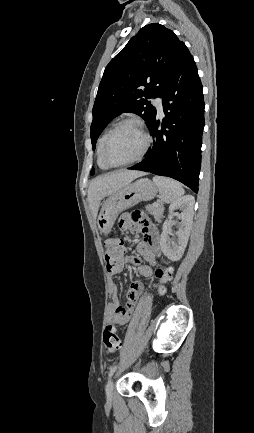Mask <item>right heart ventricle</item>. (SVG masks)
Here are the masks:
<instances>
[{
  "mask_svg": "<svg viewBox=\"0 0 254 433\" xmlns=\"http://www.w3.org/2000/svg\"><path fill=\"white\" fill-rule=\"evenodd\" d=\"M108 132H109V131L105 132V133L102 135V137L99 139V141H98V145H97V163H98L99 167H100L102 170H108V169L110 168V167H108L106 164H104L103 161H102L101 158H100V149H101V145H102V142H103V140H104V138H105V136H106V134H107Z\"/></svg>",
  "mask_w": 254,
  "mask_h": 433,
  "instance_id": "1",
  "label": "right heart ventricle"
}]
</instances>
